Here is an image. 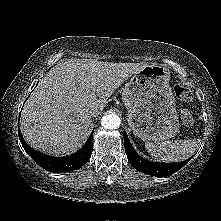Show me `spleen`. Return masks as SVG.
Returning a JSON list of instances; mask_svg holds the SVG:
<instances>
[{
  "label": "spleen",
  "instance_id": "obj_1",
  "mask_svg": "<svg viewBox=\"0 0 221 221\" xmlns=\"http://www.w3.org/2000/svg\"><path fill=\"white\" fill-rule=\"evenodd\" d=\"M199 146V139L145 143L148 153L163 162L184 161L194 154Z\"/></svg>",
  "mask_w": 221,
  "mask_h": 221
}]
</instances>
